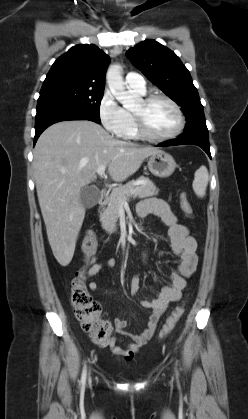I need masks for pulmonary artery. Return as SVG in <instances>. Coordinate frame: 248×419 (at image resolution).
I'll list each match as a JSON object with an SVG mask.
<instances>
[{
  "mask_svg": "<svg viewBox=\"0 0 248 419\" xmlns=\"http://www.w3.org/2000/svg\"><path fill=\"white\" fill-rule=\"evenodd\" d=\"M126 84L129 88L145 93L146 87H145V80L143 76L136 72H130L125 77Z\"/></svg>",
  "mask_w": 248,
  "mask_h": 419,
  "instance_id": "1",
  "label": "pulmonary artery"
}]
</instances>
